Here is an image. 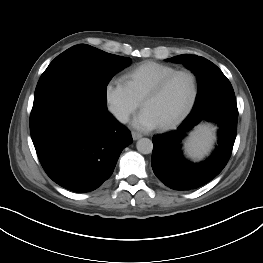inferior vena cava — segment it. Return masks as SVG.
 Returning <instances> with one entry per match:
<instances>
[{"mask_svg":"<svg viewBox=\"0 0 263 263\" xmlns=\"http://www.w3.org/2000/svg\"><path fill=\"white\" fill-rule=\"evenodd\" d=\"M118 118H119V120H120L121 122H123V123H126V122L128 121V116H127V114H120V115L118 116Z\"/></svg>","mask_w":263,"mask_h":263,"instance_id":"obj_1","label":"inferior vena cava"}]
</instances>
